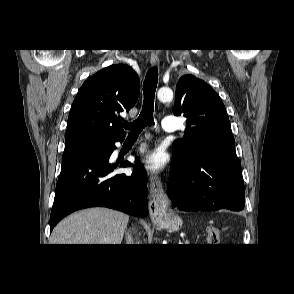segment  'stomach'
I'll return each mask as SVG.
<instances>
[{
  "mask_svg": "<svg viewBox=\"0 0 294 294\" xmlns=\"http://www.w3.org/2000/svg\"><path fill=\"white\" fill-rule=\"evenodd\" d=\"M182 225V220L179 217H166L161 221L160 226L176 231Z\"/></svg>",
  "mask_w": 294,
  "mask_h": 294,
  "instance_id": "0dacf381",
  "label": "stomach"
}]
</instances>
